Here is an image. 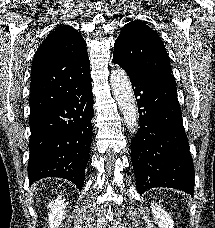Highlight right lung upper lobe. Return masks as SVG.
<instances>
[{
	"label": "right lung upper lobe",
	"mask_w": 215,
	"mask_h": 228,
	"mask_svg": "<svg viewBox=\"0 0 215 228\" xmlns=\"http://www.w3.org/2000/svg\"><path fill=\"white\" fill-rule=\"evenodd\" d=\"M86 42L69 25L57 27L40 45L31 67L30 116L62 100L68 85L90 75Z\"/></svg>",
	"instance_id": "right-lung-upper-lobe-1"
}]
</instances>
